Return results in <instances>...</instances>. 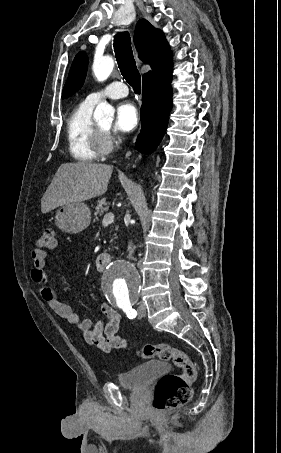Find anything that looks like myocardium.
Instances as JSON below:
<instances>
[{
    "instance_id": "f54148a6",
    "label": "myocardium",
    "mask_w": 281,
    "mask_h": 453,
    "mask_svg": "<svg viewBox=\"0 0 281 453\" xmlns=\"http://www.w3.org/2000/svg\"><path fill=\"white\" fill-rule=\"evenodd\" d=\"M95 144L98 154L101 155L109 154L115 148V144L112 137L110 136L109 130L103 129L99 125H96Z\"/></svg>"
}]
</instances>
